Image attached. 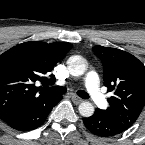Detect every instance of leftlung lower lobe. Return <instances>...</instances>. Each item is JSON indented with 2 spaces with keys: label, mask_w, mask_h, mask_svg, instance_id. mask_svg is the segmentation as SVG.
Instances as JSON below:
<instances>
[{
  "label": "left lung lower lobe",
  "mask_w": 145,
  "mask_h": 145,
  "mask_svg": "<svg viewBox=\"0 0 145 145\" xmlns=\"http://www.w3.org/2000/svg\"><path fill=\"white\" fill-rule=\"evenodd\" d=\"M83 122L91 133L100 137H110L125 131L107 118L100 109H96L91 117L83 118Z\"/></svg>",
  "instance_id": "obj_1"
}]
</instances>
